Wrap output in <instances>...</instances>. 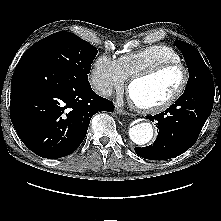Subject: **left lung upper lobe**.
I'll list each match as a JSON object with an SVG mask.
<instances>
[{"label":"left lung upper lobe","mask_w":221,"mask_h":221,"mask_svg":"<svg viewBox=\"0 0 221 221\" xmlns=\"http://www.w3.org/2000/svg\"><path fill=\"white\" fill-rule=\"evenodd\" d=\"M175 44L181 50L189 71V80L184 92L213 82L212 75L199 52L184 41L176 40Z\"/></svg>","instance_id":"left-lung-upper-lobe-1"}]
</instances>
